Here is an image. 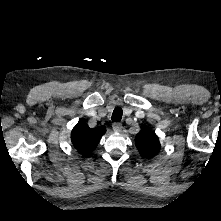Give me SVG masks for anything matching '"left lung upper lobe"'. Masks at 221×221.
Returning <instances> with one entry per match:
<instances>
[{"label":"left lung upper lobe","instance_id":"left-lung-upper-lobe-1","mask_svg":"<svg viewBox=\"0 0 221 221\" xmlns=\"http://www.w3.org/2000/svg\"><path fill=\"white\" fill-rule=\"evenodd\" d=\"M135 144L140 155L148 159L155 156L161 147L158 137L149 128H145L136 135Z\"/></svg>","mask_w":221,"mask_h":221}]
</instances>
